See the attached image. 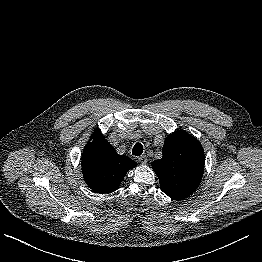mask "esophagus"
Instances as JSON below:
<instances>
[{
  "mask_svg": "<svg viewBox=\"0 0 262 262\" xmlns=\"http://www.w3.org/2000/svg\"><path fill=\"white\" fill-rule=\"evenodd\" d=\"M138 161L141 163V164H146L148 162V159L145 155H142L138 158Z\"/></svg>",
  "mask_w": 262,
  "mask_h": 262,
  "instance_id": "obj_1",
  "label": "esophagus"
}]
</instances>
